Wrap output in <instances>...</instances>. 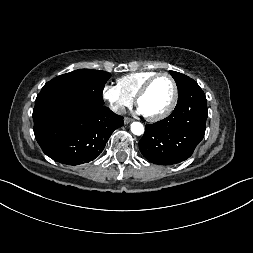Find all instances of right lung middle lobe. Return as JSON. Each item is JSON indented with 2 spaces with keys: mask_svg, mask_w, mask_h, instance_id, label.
<instances>
[{
  "mask_svg": "<svg viewBox=\"0 0 253 253\" xmlns=\"http://www.w3.org/2000/svg\"><path fill=\"white\" fill-rule=\"evenodd\" d=\"M111 74L105 71L79 69L60 75L47 82L41 91L77 95L104 103L102 91Z\"/></svg>",
  "mask_w": 253,
  "mask_h": 253,
  "instance_id": "right-lung-middle-lobe-1",
  "label": "right lung middle lobe"
}]
</instances>
